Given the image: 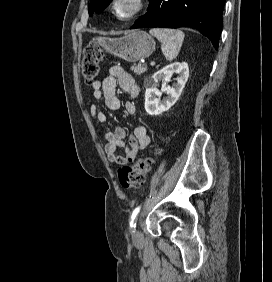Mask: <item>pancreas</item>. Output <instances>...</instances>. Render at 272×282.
Here are the masks:
<instances>
[{"instance_id":"1","label":"pancreas","mask_w":272,"mask_h":282,"mask_svg":"<svg viewBox=\"0 0 272 282\" xmlns=\"http://www.w3.org/2000/svg\"><path fill=\"white\" fill-rule=\"evenodd\" d=\"M131 70L134 71L136 75H141L142 73L147 71V67L142 63H138V65L132 66Z\"/></svg>"}]
</instances>
